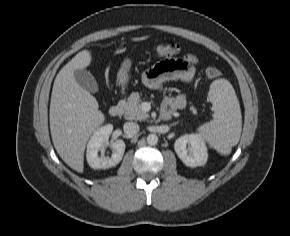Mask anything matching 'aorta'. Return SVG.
I'll return each mask as SVG.
<instances>
[{"mask_svg": "<svg viewBox=\"0 0 290 236\" xmlns=\"http://www.w3.org/2000/svg\"><path fill=\"white\" fill-rule=\"evenodd\" d=\"M147 143L151 146H154L158 143V136L154 133H151L147 136Z\"/></svg>", "mask_w": 290, "mask_h": 236, "instance_id": "obj_1", "label": "aorta"}]
</instances>
